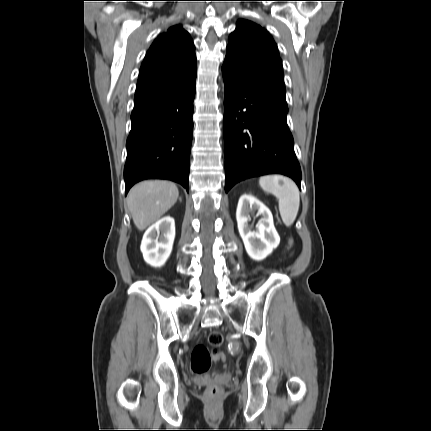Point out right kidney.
Here are the masks:
<instances>
[{
    "label": "right kidney",
    "mask_w": 431,
    "mask_h": 431,
    "mask_svg": "<svg viewBox=\"0 0 431 431\" xmlns=\"http://www.w3.org/2000/svg\"><path fill=\"white\" fill-rule=\"evenodd\" d=\"M175 238V222L166 216L150 226L141 242V252L145 262L153 267H161L169 258Z\"/></svg>",
    "instance_id": "1"
}]
</instances>
